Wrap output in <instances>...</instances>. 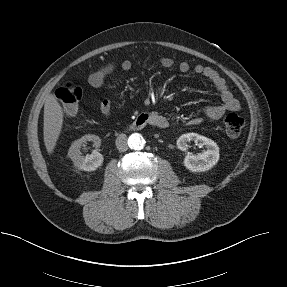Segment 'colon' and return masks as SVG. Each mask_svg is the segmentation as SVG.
<instances>
[{
  "label": "colon",
  "instance_id": "5ec220e1",
  "mask_svg": "<svg viewBox=\"0 0 287 287\" xmlns=\"http://www.w3.org/2000/svg\"><path fill=\"white\" fill-rule=\"evenodd\" d=\"M55 95L62 104L66 115L73 116L76 114L78 103L82 97V90L79 86L73 83H66L56 90ZM244 125L243 117L237 113H229L224 118L225 131L231 137L238 136Z\"/></svg>",
  "mask_w": 287,
  "mask_h": 287
}]
</instances>
